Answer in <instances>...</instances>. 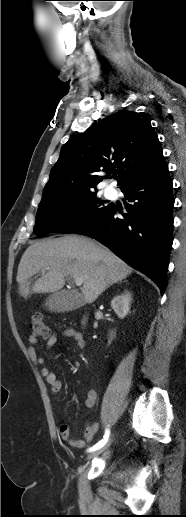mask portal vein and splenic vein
I'll return each mask as SVG.
<instances>
[{
  "mask_svg": "<svg viewBox=\"0 0 186 517\" xmlns=\"http://www.w3.org/2000/svg\"><path fill=\"white\" fill-rule=\"evenodd\" d=\"M74 283L77 286H81L83 284V279L82 278H74Z\"/></svg>",
  "mask_w": 186,
  "mask_h": 517,
  "instance_id": "1",
  "label": "portal vein and splenic vein"
}]
</instances>
